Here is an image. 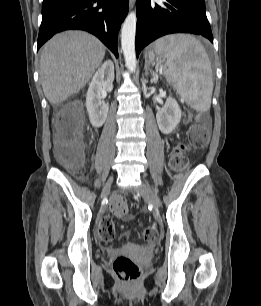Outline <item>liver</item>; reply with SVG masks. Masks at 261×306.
<instances>
[{
  "label": "liver",
  "mask_w": 261,
  "mask_h": 306,
  "mask_svg": "<svg viewBox=\"0 0 261 306\" xmlns=\"http://www.w3.org/2000/svg\"><path fill=\"white\" fill-rule=\"evenodd\" d=\"M105 46L83 31H66L43 47L40 76L43 92L52 104H59L82 89L100 66Z\"/></svg>",
  "instance_id": "obj_1"
}]
</instances>
